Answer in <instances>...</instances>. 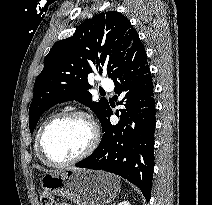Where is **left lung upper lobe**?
I'll list each match as a JSON object with an SVG mask.
<instances>
[{"label":"left lung upper lobe","mask_w":212,"mask_h":205,"mask_svg":"<svg viewBox=\"0 0 212 205\" xmlns=\"http://www.w3.org/2000/svg\"><path fill=\"white\" fill-rule=\"evenodd\" d=\"M138 37L130 21L116 12L97 14L72 37L54 44L34 84L29 109L31 133L40 116L55 104L77 100L90 107L101 121L109 103L92 101L88 74L107 71L112 77L132 42Z\"/></svg>","instance_id":"left-lung-upper-lobe-1"}]
</instances>
